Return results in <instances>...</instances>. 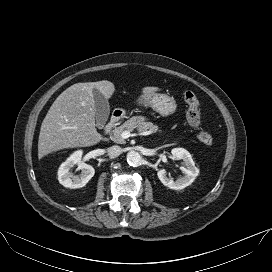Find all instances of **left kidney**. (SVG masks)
<instances>
[{"mask_svg":"<svg viewBox=\"0 0 272 272\" xmlns=\"http://www.w3.org/2000/svg\"><path fill=\"white\" fill-rule=\"evenodd\" d=\"M171 153L177 160H183L184 166L180 167V169L184 173V176L174 181L166 176L165 169H160L157 172V176L163 185L170 189L180 190L192 184L199 174V169L195 166L191 154L187 150L174 148Z\"/></svg>","mask_w":272,"mask_h":272,"instance_id":"5707ae66","label":"left kidney"}]
</instances>
